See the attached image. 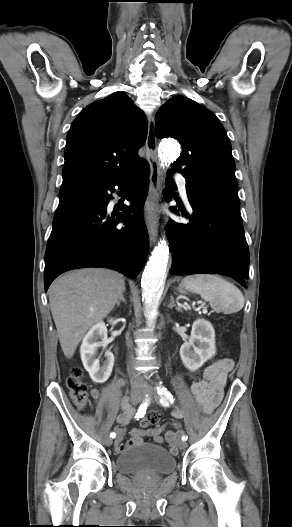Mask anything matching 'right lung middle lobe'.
I'll return each mask as SVG.
<instances>
[{
	"label": "right lung middle lobe",
	"instance_id": "obj_1",
	"mask_svg": "<svg viewBox=\"0 0 292 527\" xmlns=\"http://www.w3.org/2000/svg\"><path fill=\"white\" fill-rule=\"evenodd\" d=\"M84 182H91V181L77 180V181H72V182H69V183H84Z\"/></svg>",
	"mask_w": 292,
	"mask_h": 527
}]
</instances>
